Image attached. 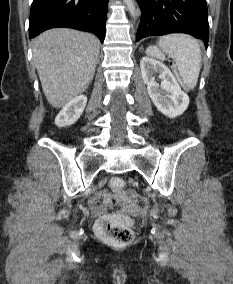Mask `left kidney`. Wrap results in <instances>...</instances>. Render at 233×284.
Returning <instances> with one entry per match:
<instances>
[{
	"label": "left kidney",
	"mask_w": 233,
	"mask_h": 284,
	"mask_svg": "<svg viewBox=\"0 0 233 284\" xmlns=\"http://www.w3.org/2000/svg\"><path fill=\"white\" fill-rule=\"evenodd\" d=\"M140 68L149 97L156 108L169 118L183 114L189 105V97L181 90L168 67L153 58L143 57ZM155 74L162 80L160 85L155 81Z\"/></svg>",
	"instance_id": "1"
}]
</instances>
